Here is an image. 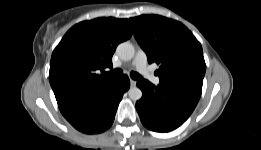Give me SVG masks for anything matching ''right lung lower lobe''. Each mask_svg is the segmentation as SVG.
<instances>
[{"instance_id": "right-lung-lower-lobe-1", "label": "right lung lower lobe", "mask_w": 261, "mask_h": 150, "mask_svg": "<svg viewBox=\"0 0 261 150\" xmlns=\"http://www.w3.org/2000/svg\"><path fill=\"white\" fill-rule=\"evenodd\" d=\"M129 87V78L123 75L109 90L80 104L64 117L83 133H101L112 125L118 104Z\"/></svg>"}]
</instances>
